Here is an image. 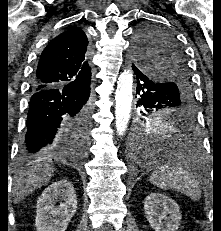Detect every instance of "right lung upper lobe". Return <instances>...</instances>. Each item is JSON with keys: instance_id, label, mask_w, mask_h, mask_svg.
<instances>
[{"instance_id": "cb5924a9", "label": "right lung upper lobe", "mask_w": 221, "mask_h": 231, "mask_svg": "<svg viewBox=\"0 0 221 231\" xmlns=\"http://www.w3.org/2000/svg\"><path fill=\"white\" fill-rule=\"evenodd\" d=\"M89 57L87 36L80 28L63 32L42 52L32 90L90 81L92 68Z\"/></svg>"}]
</instances>
